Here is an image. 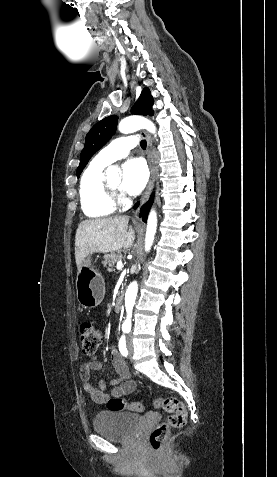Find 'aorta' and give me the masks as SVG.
I'll list each match as a JSON object with an SVG mask.
<instances>
[{"label":"aorta","instance_id":"762f6f07","mask_svg":"<svg viewBox=\"0 0 277 477\" xmlns=\"http://www.w3.org/2000/svg\"><path fill=\"white\" fill-rule=\"evenodd\" d=\"M145 128L151 133L156 132L155 125L149 121L148 119L141 117V116H131L124 118L119 123L118 129L121 133L127 134L135 132L139 129ZM118 169L114 166H110L107 168V174H111L114 176L117 175ZM157 229V214L154 210H151L148 221H147V229H146V238H145V250L149 251L155 237ZM138 291V284L137 282H132L126 291L125 294V309H126V319L123 322V328H130L131 327V319H132V311L135 304L136 296Z\"/></svg>","mask_w":277,"mask_h":477}]
</instances>
